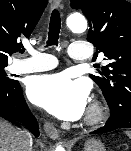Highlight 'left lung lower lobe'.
Masks as SVG:
<instances>
[{"mask_svg": "<svg viewBox=\"0 0 131 151\" xmlns=\"http://www.w3.org/2000/svg\"><path fill=\"white\" fill-rule=\"evenodd\" d=\"M120 128H131V106H121L117 113H111L106 125L92 133H107Z\"/></svg>", "mask_w": 131, "mask_h": 151, "instance_id": "left-lung-lower-lobe-1", "label": "left lung lower lobe"}]
</instances>
